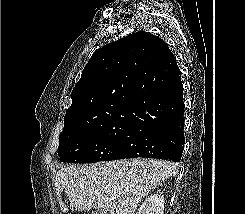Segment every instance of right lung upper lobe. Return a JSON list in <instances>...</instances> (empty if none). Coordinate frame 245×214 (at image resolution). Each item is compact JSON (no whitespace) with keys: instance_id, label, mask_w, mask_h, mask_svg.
I'll list each match as a JSON object with an SVG mask.
<instances>
[{"instance_id":"obj_1","label":"right lung upper lobe","mask_w":245,"mask_h":214,"mask_svg":"<svg viewBox=\"0 0 245 214\" xmlns=\"http://www.w3.org/2000/svg\"><path fill=\"white\" fill-rule=\"evenodd\" d=\"M173 57L162 39L144 31L99 48L73 88L64 122L90 128L131 121L145 98L162 92Z\"/></svg>"}]
</instances>
